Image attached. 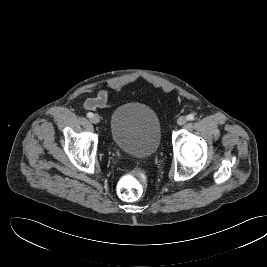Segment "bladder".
Segmentation results:
<instances>
[{"instance_id":"bladder-1","label":"bladder","mask_w":267,"mask_h":267,"mask_svg":"<svg viewBox=\"0 0 267 267\" xmlns=\"http://www.w3.org/2000/svg\"><path fill=\"white\" fill-rule=\"evenodd\" d=\"M110 138L121 151L139 159L150 158L160 147V120L144 103H123L112 113Z\"/></svg>"}]
</instances>
